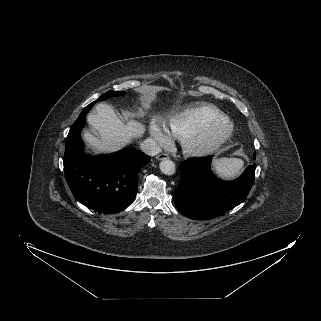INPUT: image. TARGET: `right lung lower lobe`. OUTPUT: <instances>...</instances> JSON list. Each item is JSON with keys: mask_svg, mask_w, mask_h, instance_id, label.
Masks as SVG:
<instances>
[{"mask_svg": "<svg viewBox=\"0 0 321 321\" xmlns=\"http://www.w3.org/2000/svg\"><path fill=\"white\" fill-rule=\"evenodd\" d=\"M92 106L89 104L83 109L68 133L64 172L74 197L80 203L100 213L114 214L135 199L138 172L151 158L131 148L98 157L86 155L80 134Z\"/></svg>", "mask_w": 321, "mask_h": 321, "instance_id": "obj_1", "label": "right lung lower lobe"}]
</instances>
